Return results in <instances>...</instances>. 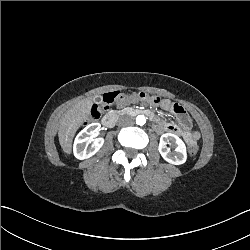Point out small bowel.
Listing matches in <instances>:
<instances>
[{
  "instance_id": "1",
  "label": "small bowel",
  "mask_w": 250,
  "mask_h": 250,
  "mask_svg": "<svg viewBox=\"0 0 250 250\" xmlns=\"http://www.w3.org/2000/svg\"><path fill=\"white\" fill-rule=\"evenodd\" d=\"M136 95H137L136 93L131 94L130 96L127 97V99L124 102H122L120 104L125 103L127 100L132 101V102L137 101L138 99H137ZM159 100H160V98H159ZM161 105L164 109H172L173 110V107H174L169 100H162ZM167 127H169V129H171L173 131H180L181 130V128L178 125H174V124L166 125L164 123H158L156 125V128L159 130L166 129ZM198 137H199V135L196 131H188V139L189 140L196 141L198 139Z\"/></svg>"
}]
</instances>
